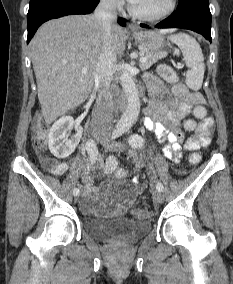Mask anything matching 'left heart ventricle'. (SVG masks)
I'll list each match as a JSON object with an SVG mask.
<instances>
[{
	"label": "left heart ventricle",
	"mask_w": 233,
	"mask_h": 284,
	"mask_svg": "<svg viewBox=\"0 0 233 284\" xmlns=\"http://www.w3.org/2000/svg\"><path fill=\"white\" fill-rule=\"evenodd\" d=\"M168 2L169 0H138L132 5L141 13L153 15L163 11Z\"/></svg>",
	"instance_id": "b2bd125f"
}]
</instances>
